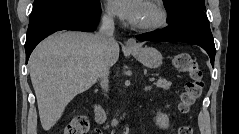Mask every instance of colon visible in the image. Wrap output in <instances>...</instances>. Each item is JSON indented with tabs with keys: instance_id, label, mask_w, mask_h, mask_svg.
<instances>
[{
	"instance_id": "1",
	"label": "colon",
	"mask_w": 239,
	"mask_h": 134,
	"mask_svg": "<svg viewBox=\"0 0 239 134\" xmlns=\"http://www.w3.org/2000/svg\"><path fill=\"white\" fill-rule=\"evenodd\" d=\"M175 67L190 76L180 96L179 111L183 114L188 113L195 102L200 98L204 89L202 71L197 61L187 53H179L174 56ZM90 124L87 117L78 115L65 127L63 134H88ZM178 134H192L191 127L182 125L178 129Z\"/></svg>"
}]
</instances>
